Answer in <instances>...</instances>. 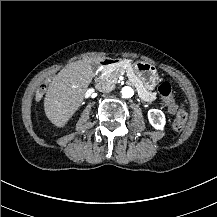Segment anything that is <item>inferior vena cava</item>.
Wrapping results in <instances>:
<instances>
[{"label": "inferior vena cava", "instance_id": "obj_1", "mask_svg": "<svg viewBox=\"0 0 217 217\" xmlns=\"http://www.w3.org/2000/svg\"><path fill=\"white\" fill-rule=\"evenodd\" d=\"M98 90H99L100 92L109 93V92L112 90V86H111L107 81L102 80V81L99 83Z\"/></svg>", "mask_w": 217, "mask_h": 217}]
</instances>
